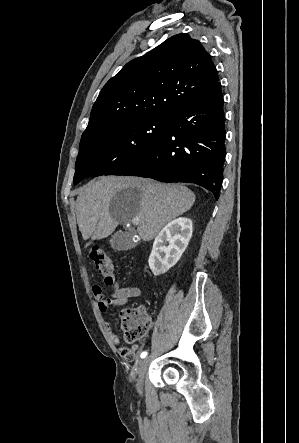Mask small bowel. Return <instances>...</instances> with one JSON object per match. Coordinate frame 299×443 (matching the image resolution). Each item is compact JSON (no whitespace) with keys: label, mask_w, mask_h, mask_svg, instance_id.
Segmentation results:
<instances>
[{"label":"small bowel","mask_w":299,"mask_h":443,"mask_svg":"<svg viewBox=\"0 0 299 443\" xmlns=\"http://www.w3.org/2000/svg\"><path fill=\"white\" fill-rule=\"evenodd\" d=\"M93 294L98 301V307L101 312H106L109 308L119 307L126 305L132 299H135L141 295V290L137 286H125V287H115L113 289V294L111 297H106L104 290L101 286L96 285L93 287ZM106 329L109 333L110 339L114 345H120V339L118 335L112 330L110 324L106 322ZM140 348L139 345H134L130 351V355L123 357L131 361L134 358L135 352Z\"/></svg>","instance_id":"c3829d8e"}]
</instances>
